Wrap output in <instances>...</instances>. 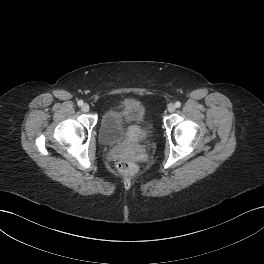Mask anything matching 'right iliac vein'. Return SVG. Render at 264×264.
Returning <instances> with one entry per match:
<instances>
[{"label":"right iliac vein","mask_w":264,"mask_h":264,"mask_svg":"<svg viewBox=\"0 0 264 264\" xmlns=\"http://www.w3.org/2000/svg\"><path fill=\"white\" fill-rule=\"evenodd\" d=\"M81 109H82L83 112H88L90 110V107H89L88 104L85 103V104H83Z\"/></svg>","instance_id":"63e3f726"}]
</instances>
